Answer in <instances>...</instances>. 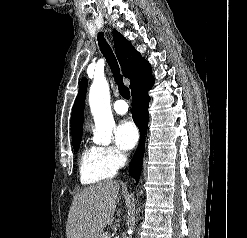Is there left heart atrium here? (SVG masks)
Here are the masks:
<instances>
[{
  "mask_svg": "<svg viewBox=\"0 0 247 238\" xmlns=\"http://www.w3.org/2000/svg\"><path fill=\"white\" fill-rule=\"evenodd\" d=\"M139 138L135 124L130 120H123L115 130V140L117 146L124 151L131 150Z\"/></svg>",
  "mask_w": 247,
  "mask_h": 238,
  "instance_id": "left-heart-atrium-1",
  "label": "left heart atrium"
}]
</instances>
